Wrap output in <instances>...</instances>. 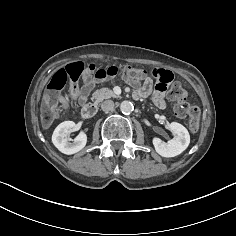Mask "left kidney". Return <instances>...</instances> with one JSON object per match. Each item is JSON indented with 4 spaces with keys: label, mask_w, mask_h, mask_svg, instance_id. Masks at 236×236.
<instances>
[{
    "label": "left kidney",
    "mask_w": 236,
    "mask_h": 236,
    "mask_svg": "<svg viewBox=\"0 0 236 236\" xmlns=\"http://www.w3.org/2000/svg\"><path fill=\"white\" fill-rule=\"evenodd\" d=\"M169 129L176 137L168 142H164L159 138L153 139L154 148L162 157H175L186 150L190 143L189 132L183 125L172 122Z\"/></svg>",
    "instance_id": "1"
}]
</instances>
